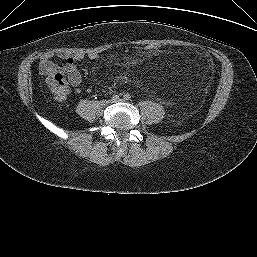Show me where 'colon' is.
<instances>
[{"label":"colon","mask_w":257,"mask_h":257,"mask_svg":"<svg viewBox=\"0 0 257 257\" xmlns=\"http://www.w3.org/2000/svg\"><path fill=\"white\" fill-rule=\"evenodd\" d=\"M145 48L151 53H156L160 50V46L156 44H149ZM44 75L51 92L57 98H64L68 94L69 87L65 73L59 70H48Z\"/></svg>","instance_id":"1"}]
</instances>
